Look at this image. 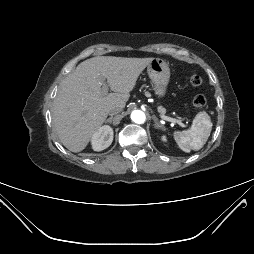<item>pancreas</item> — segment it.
Listing matches in <instances>:
<instances>
[{
    "instance_id": "pancreas-1",
    "label": "pancreas",
    "mask_w": 254,
    "mask_h": 254,
    "mask_svg": "<svg viewBox=\"0 0 254 254\" xmlns=\"http://www.w3.org/2000/svg\"><path fill=\"white\" fill-rule=\"evenodd\" d=\"M158 111H159L160 114H165L166 113V110L162 107H159Z\"/></svg>"
}]
</instances>
